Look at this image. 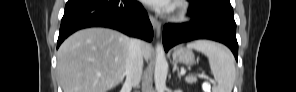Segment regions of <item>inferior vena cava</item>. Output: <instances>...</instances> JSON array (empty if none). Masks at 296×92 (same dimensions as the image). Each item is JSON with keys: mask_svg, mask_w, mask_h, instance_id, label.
Wrapping results in <instances>:
<instances>
[{"mask_svg": "<svg viewBox=\"0 0 296 92\" xmlns=\"http://www.w3.org/2000/svg\"><path fill=\"white\" fill-rule=\"evenodd\" d=\"M143 67L142 41L130 39L129 53L126 59V84L136 87L140 83Z\"/></svg>", "mask_w": 296, "mask_h": 92, "instance_id": "602c4592", "label": "inferior vena cava"}]
</instances>
